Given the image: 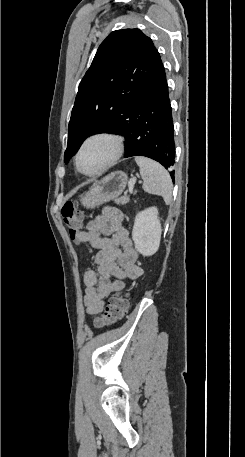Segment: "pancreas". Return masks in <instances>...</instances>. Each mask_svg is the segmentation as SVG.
<instances>
[{
    "label": "pancreas",
    "mask_w": 245,
    "mask_h": 457,
    "mask_svg": "<svg viewBox=\"0 0 245 457\" xmlns=\"http://www.w3.org/2000/svg\"><path fill=\"white\" fill-rule=\"evenodd\" d=\"M129 200V196L127 194V192H125V194H123V196H120V198H115V202H117V204H126V202H128Z\"/></svg>",
    "instance_id": "cf45deb5"
}]
</instances>
